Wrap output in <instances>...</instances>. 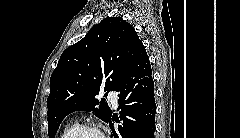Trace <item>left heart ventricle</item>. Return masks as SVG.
<instances>
[{"instance_id":"1","label":"left heart ventricle","mask_w":240,"mask_h":138,"mask_svg":"<svg viewBox=\"0 0 240 138\" xmlns=\"http://www.w3.org/2000/svg\"><path fill=\"white\" fill-rule=\"evenodd\" d=\"M78 138H102L100 133L92 130L84 131Z\"/></svg>"}]
</instances>
